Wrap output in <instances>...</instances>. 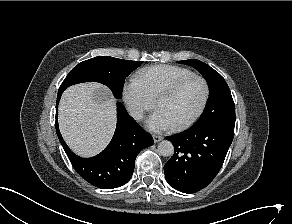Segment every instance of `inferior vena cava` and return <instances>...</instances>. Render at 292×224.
<instances>
[{"mask_svg":"<svg viewBox=\"0 0 292 224\" xmlns=\"http://www.w3.org/2000/svg\"><path fill=\"white\" fill-rule=\"evenodd\" d=\"M130 114L136 120H141L143 118V110L138 107H133L130 109Z\"/></svg>","mask_w":292,"mask_h":224,"instance_id":"inferior-vena-cava-1","label":"inferior vena cava"}]
</instances>
